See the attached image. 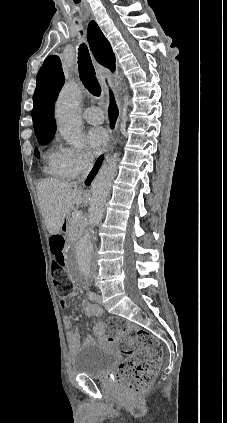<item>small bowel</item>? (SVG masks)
<instances>
[{"instance_id":"c3829d8e","label":"small bowel","mask_w":227,"mask_h":423,"mask_svg":"<svg viewBox=\"0 0 227 423\" xmlns=\"http://www.w3.org/2000/svg\"><path fill=\"white\" fill-rule=\"evenodd\" d=\"M63 255L65 258L64 250H63ZM59 304L62 308H65L67 306V299L61 298L59 301ZM81 306L84 309L87 318L89 319L92 317H98L102 315L103 313V310L99 305L91 303L86 300L82 301ZM63 322L67 329V338L69 341L70 349L72 351H75L80 343V332L78 329H74V330L71 329L72 322H71V317L69 315L64 316ZM94 332L101 342L107 341V338L105 336V327L103 324L100 323L96 325L94 328ZM86 341L91 343L94 341V339L88 338Z\"/></svg>"}]
</instances>
